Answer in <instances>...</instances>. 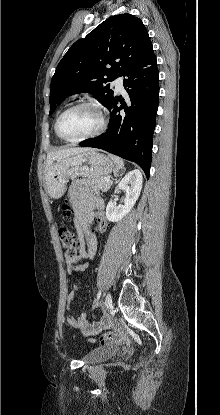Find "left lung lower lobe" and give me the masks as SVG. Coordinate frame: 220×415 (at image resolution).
Returning a JSON list of instances; mask_svg holds the SVG:
<instances>
[{
  "label": "left lung lower lobe",
  "mask_w": 220,
  "mask_h": 415,
  "mask_svg": "<svg viewBox=\"0 0 220 415\" xmlns=\"http://www.w3.org/2000/svg\"><path fill=\"white\" fill-rule=\"evenodd\" d=\"M123 86L129 97L114 96L108 130L79 145L100 148L137 163L150 175L153 133L159 98V73L155 54L144 64L127 70ZM118 103L121 104L118 107Z\"/></svg>",
  "instance_id": "left-lung-lower-lobe-1"
}]
</instances>
